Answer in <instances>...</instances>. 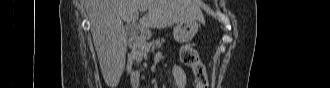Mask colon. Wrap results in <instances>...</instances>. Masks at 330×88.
Instances as JSON below:
<instances>
[{
    "instance_id": "obj_1",
    "label": "colon",
    "mask_w": 330,
    "mask_h": 88,
    "mask_svg": "<svg viewBox=\"0 0 330 88\" xmlns=\"http://www.w3.org/2000/svg\"><path fill=\"white\" fill-rule=\"evenodd\" d=\"M181 61L194 75L195 88H209L205 65L201 62L196 47L186 44L181 49Z\"/></svg>"
}]
</instances>
